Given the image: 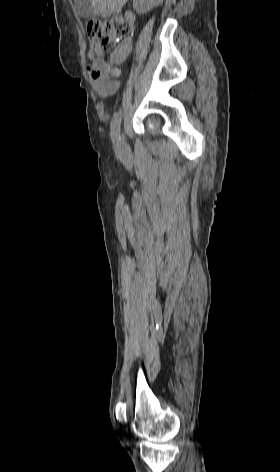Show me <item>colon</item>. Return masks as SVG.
<instances>
[{
    "label": "colon",
    "mask_w": 280,
    "mask_h": 472,
    "mask_svg": "<svg viewBox=\"0 0 280 472\" xmlns=\"http://www.w3.org/2000/svg\"><path fill=\"white\" fill-rule=\"evenodd\" d=\"M131 23L118 18L109 22H102L90 18L86 21V31L92 48H111L115 39L130 34Z\"/></svg>",
    "instance_id": "1"
}]
</instances>
